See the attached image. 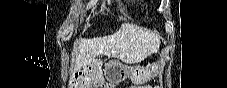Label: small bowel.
<instances>
[{"label":"small bowel","mask_w":227,"mask_h":88,"mask_svg":"<svg viewBox=\"0 0 227 88\" xmlns=\"http://www.w3.org/2000/svg\"><path fill=\"white\" fill-rule=\"evenodd\" d=\"M104 87H110L109 85H105Z\"/></svg>","instance_id":"c3829d8e"}]
</instances>
